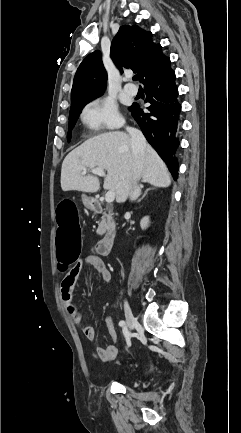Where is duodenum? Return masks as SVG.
<instances>
[{
	"mask_svg": "<svg viewBox=\"0 0 241 433\" xmlns=\"http://www.w3.org/2000/svg\"><path fill=\"white\" fill-rule=\"evenodd\" d=\"M88 204L89 208L96 213H102L106 211L105 207L96 199H90ZM114 242L115 233L113 231H108L97 243V250L99 254L103 256L109 255L113 248Z\"/></svg>",
	"mask_w": 241,
	"mask_h": 433,
	"instance_id": "obj_1",
	"label": "duodenum"
}]
</instances>
